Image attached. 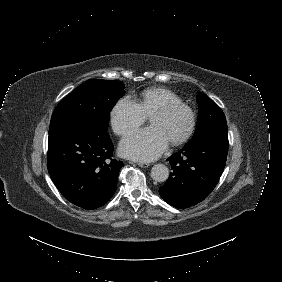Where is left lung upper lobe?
<instances>
[{"label": "left lung upper lobe", "mask_w": 282, "mask_h": 282, "mask_svg": "<svg viewBox=\"0 0 282 282\" xmlns=\"http://www.w3.org/2000/svg\"><path fill=\"white\" fill-rule=\"evenodd\" d=\"M197 102L199 104L198 122L193 136L214 126L227 125L223 111L206 94L199 93Z\"/></svg>", "instance_id": "obj_1"}]
</instances>
